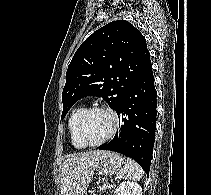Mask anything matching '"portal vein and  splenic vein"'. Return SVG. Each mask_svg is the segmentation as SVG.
Here are the masks:
<instances>
[{
  "mask_svg": "<svg viewBox=\"0 0 211 195\" xmlns=\"http://www.w3.org/2000/svg\"><path fill=\"white\" fill-rule=\"evenodd\" d=\"M109 187H113V184H109Z\"/></svg>",
  "mask_w": 211,
  "mask_h": 195,
  "instance_id": "portal-vein-and-splenic-vein-1",
  "label": "portal vein and splenic vein"
}]
</instances>
